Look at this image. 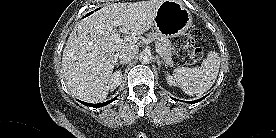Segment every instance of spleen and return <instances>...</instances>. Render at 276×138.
<instances>
[{"label": "spleen", "mask_w": 276, "mask_h": 138, "mask_svg": "<svg viewBox=\"0 0 276 138\" xmlns=\"http://www.w3.org/2000/svg\"><path fill=\"white\" fill-rule=\"evenodd\" d=\"M219 67L218 53L209 51L201 67H178L174 70V79L187 95H202L215 83Z\"/></svg>", "instance_id": "spleen-1"}]
</instances>
